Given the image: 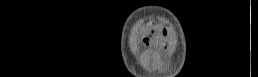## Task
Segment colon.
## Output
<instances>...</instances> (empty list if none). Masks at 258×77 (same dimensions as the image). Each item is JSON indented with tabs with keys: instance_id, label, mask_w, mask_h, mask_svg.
I'll list each match as a JSON object with an SVG mask.
<instances>
[{
	"instance_id": "5ec220e1",
	"label": "colon",
	"mask_w": 258,
	"mask_h": 77,
	"mask_svg": "<svg viewBox=\"0 0 258 77\" xmlns=\"http://www.w3.org/2000/svg\"><path fill=\"white\" fill-rule=\"evenodd\" d=\"M157 34V29L155 27H149L145 32V39L152 40Z\"/></svg>"
}]
</instances>
